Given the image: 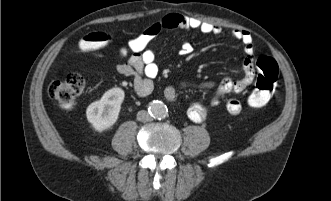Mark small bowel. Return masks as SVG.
<instances>
[{
	"label": "small bowel",
	"mask_w": 331,
	"mask_h": 201,
	"mask_svg": "<svg viewBox=\"0 0 331 201\" xmlns=\"http://www.w3.org/2000/svg\"><path fill=\"white\" fill-rule=\"evenodd\" d=\"M163 29L196 30L203 34L215 35L222 32V28L218 25L181 14H168L120 46L118 53L122 61L117 65V71L121 75L132 77L133 89L140 97L148 96L153 90V79L158 74V66L155 62V53L148 46ZM230 34L244 45L246 54L243 65L244 76L239 80L224 77L215 85V95L209 103L197 102L190 105L187 115L196 123L205 121L212 110L222 106L223 96L231 92L242 93L253 83L255 70L252 36L248 31L241 29H233ZM190 52L191 46L187 42H184L178 51L182 56ZM201 87H214V84L203 83ZM164 96L168 101L175 102L178 96L177 89L172 85L167 86ZM224 107L229 114L237 115L242 109V104L237 98H230L224 103Z\"/></svg>",
	"instance_id": "1"
}]
</instances>
